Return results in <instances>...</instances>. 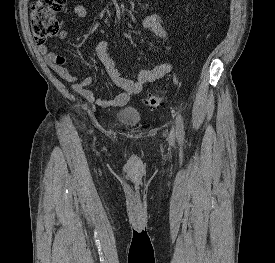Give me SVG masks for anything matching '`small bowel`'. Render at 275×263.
<instances>
[{
    "instance_id": "1",
    "label": "small bowel",
    "mask_w": 275,
    "mask_h": 263,
    "mask_svg": "<svg viewBox=\"0 0 275 263\" xmlns=\"http://www.w3.org/2000/svg\"><path fill=\"white\" fill-rule=\"evenodd\" d=\"M72 10L74 14L81 19H84L87 16V8L83 5H75ZM141 25L143 28L153 32L163 41L168 40V33L158 15H145L141 20ZM60 37H66V33L61 32ZM37 48L44 56L47 64L57 73V75L64 81L72 84V88L75 92L80 94L87 101L104 109L123 107L127 105L130 98L134 95H139L146 84L167 76L174 69L172 63L162 61L153 68L140 70L136 80L128 79L116 67L114 60L110 57L108 41L102 39L96 44V55L101 61L104 70L108 73L111 82L121 88L122 92L114 98H97L88 89V86L93 82L91 76L78 82L76 72L70 71L65 67L66 58L63 55L49 51L45 44H40Z\"/></svg>"
}]
</instances>
